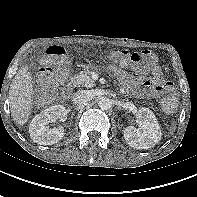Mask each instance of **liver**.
Wrapping results in <instances>:
<instances>
[{
    "mask_svg": "<svg viewBox=\"0 0 197 197\" xmlns=\"http://www.w3.org/2000/svg\"><path fill=\"white\" fill-rule=\"evenodd\" d=\"M33 81L27 66L21 67L15 75L9 90L11 116L16 124L27 123L33 104Z\"/></svg>",
    "mask_w": 197,
    "mask_h": 197,
    "instance_id": "6515ba94",
    "label": "liver"
}]
</instances>
